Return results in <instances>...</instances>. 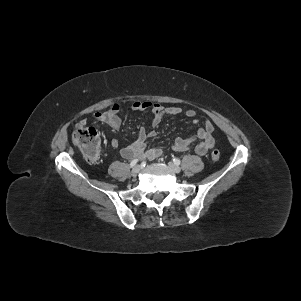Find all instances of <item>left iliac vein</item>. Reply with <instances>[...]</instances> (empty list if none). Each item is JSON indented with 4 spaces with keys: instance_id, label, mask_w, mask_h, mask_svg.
Masks as SVG:
<instances>
[{
    "instance_id": "4c4485c4",
    "label": "left iliac vein",
    "mask_w": 301,
    "mask_h": 301,
    "mask_svg": "<svg viewBox=\"0 0 301 301\" xmlns=\"http://www.w3.org/2000/svg\"><path fill=\"white\" fill-rule=\"evenodd\" d=\"M169 167L171 168V170L175 173H179L181 171V168L180 166L176 165L175 163L173 162H169Z\"/></svg>"
}]
</instances>
